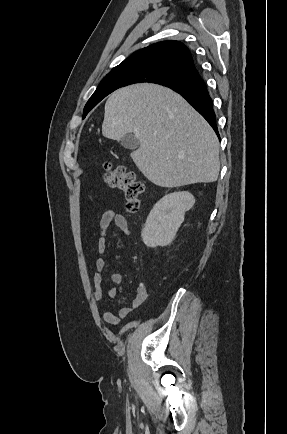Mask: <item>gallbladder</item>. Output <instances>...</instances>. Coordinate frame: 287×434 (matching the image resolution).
<instances>
[{"label": "gallbladder", "instance_id": "bac80fb5", "mask_svg": "<svg viewBox=\"0 0 287 434\" xmlns=\"http://www.w3.org/2000/svg\"><path fill=\"white\" fill-rule=\"evenodd\" d=\"M120 144L129 150H136L139 147L138 139L131 133L124 135L120 140Z\"/></svg>", "mask_w": 287, "mask_h": 434}]
</instances>
